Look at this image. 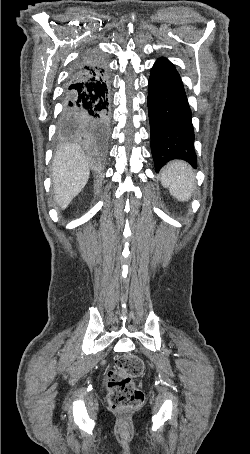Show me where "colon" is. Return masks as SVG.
Masks as SVG:
<instances>
[{
    "label": "colon",
    "mask_w": 250,
    "mask_h": 454,
    "mask_svg": "<svg viewBox=\"0 0 250 454\" xmlns=\"http://www.w3.org/2000/svg\"><path fill=\"white\" fill-rule=\"evenodd\" d=\"M143 370V361L136 355L125 354L117 359L107 375L109 405L113 411L123 412L141 405L144 395L133 379Z\"/></svg>",
    "instance_id": "obj_1"
}]
</instances>
